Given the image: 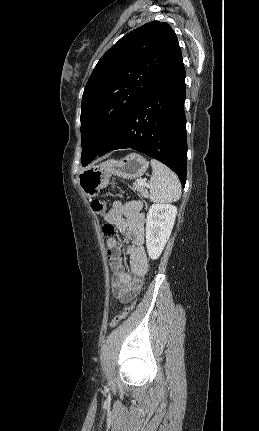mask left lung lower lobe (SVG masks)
Masks as SVG:
<instances>
[{
    "mask_svg": "<svg viewBox=\"0 0 259 431\" xmlns=\"http://www.w3.org/2000/svg\"><path fill=\"white\" fill-rule=\"evenodd\" d=\"M185 69L181 52L151 90L133 107L97 156L124 148L153 157L186 182Z\"/></svg>",
    "mask_w": 259,
    "mask_h": 431,
    "instance_id": "left-lung-lower-lobe-1",
    "label": "left lung lower lobe"
}]
</instances>
